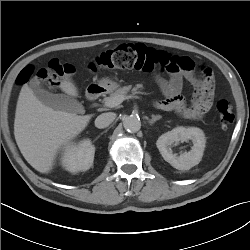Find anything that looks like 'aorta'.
<instances>
[{
	"label": "aorta",
	"mask_w": 250,
	"mask_h": 250,
	"mask_svg": "<svg viewBox=\"0 0 250 250\" xmlns=\"http://www.w3.org/2000/svg\"><path fill=\"white\" fill-rule=\"evenodd\" d=\"M123 126H124L125 130H127L128 132L135 133V132L140 130L141 121L138 117H136L134 115L127 116L123 120Z\"/></svg>",
	"instance_id": "1"
}]
</instances>
